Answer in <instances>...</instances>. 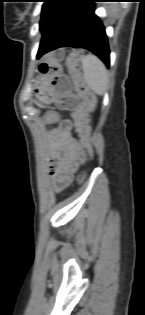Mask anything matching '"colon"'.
<instances>
[{
    "label": "colon",
    "instance_id": "obj_1",
    "mask_svg": "<svg viewBox=\"0 0 145 315\" xmlns=\"http://www.w3.org/2000/svg\"><path fill=\"white\" fill-rule=\"evenodd\" d=\"M62 51H53L42 60L39 71L47 76L55 92V103L57 108L73 112L76 131L82 145L90 155L93 153L90 142V113L95 104L92 92L83 82L80 75L81 52H73L67 61L69 75L72 78L75 90L72 89L70 78L62 70Z\"/></svg>",
    "mask_w": 145,
    "mask_h": 315
}]
</instances>
